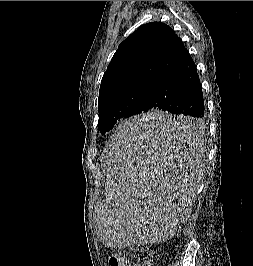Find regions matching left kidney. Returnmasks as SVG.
<instances>
[{"mask_svg":"<svg viewBox=\"0 0 253 266\" xmlns=\"http://www.w3.org/2000/svg\"><path fill=\"white\" fill-rule=\"evenodd\" d=\"M189 203H190V201H188V203H187V205H186V206H188V205H189ZM182 217H184V216L182 215Z\"/></svg>","mask_w":253,"mask_h":266,"instance_id":"left-kidney-1","label":"left kidney"}]
</instances>
